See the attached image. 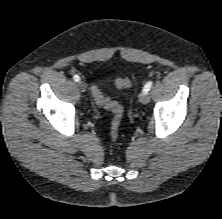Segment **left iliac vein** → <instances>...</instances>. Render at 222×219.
Instances as JSON below:
<instances>
[{
    "label": "left iliac vein",
    "instance_id": "obj_1",
    "mask_svg": "<svg viewBox=\"0 0 222 219\" xmlns=\"http://www.w3.org/2000/svg\"><path fill=\"white\" fill-rule=\"evenodd\" d=\"M150 100V96H149V93L148 92H141L139 94V101L143 104H147Z\"/></svg>",
    "mask_w": 222,
    "mask_h": 219
}]
</instances>
